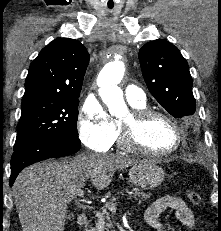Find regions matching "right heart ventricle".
<instances>
[{"label":"right heart ventricle","instance_id":"right-heart-ventricle-1","mask_svg":"<svg viewBox=\"0 0 221 231\" xmlns=\"http://www.w3.org/2000/svg\"><path fill=\"white\" fill-rule=\"evenodd\" d=\"M131 106L134 108V109H141V108H145V102L144 103H131ZM119 135V132L117 130V137Z\"/></svg>","mask_w":221,"mask_h":231}]
</instances>
